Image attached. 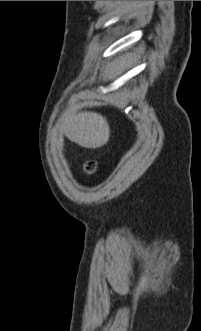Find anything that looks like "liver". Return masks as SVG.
<instances>
[{
  "label": "liver",
  "mask_w": 201,
  "mask_h": 331,
  "mask_svg": "<svg viewBox=\"0 0 201 331\" xmlns=\"http://www.w3.org/2000/svg\"><path fill=\"white\" fill-rule=\"evenodd\" d=\"M61 131L72 142L85 148H100L110 138L107 120L95 112L66 111L59 119Z\"/></svg>",
  "instance_id": "6515ba94"
}]
</instances>
